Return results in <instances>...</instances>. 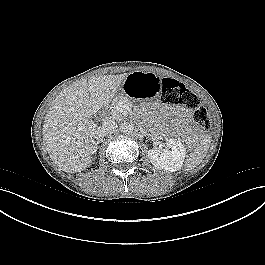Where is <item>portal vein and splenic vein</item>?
Segmentation results:
<instances>
[{
  "mask_svg": "<svg viewBox=\"0 0 265 265\" xmlns=\"http://www.w3.org/2000/svg\"><path fill=\"white\" fill-rule=\"evenodd\" d=\"M125 108V106L123 105V104H119L118 106H117V109L121 112V111H123V109Z\"/></svg>",
  "mask_w": 265,
  "mask_h": 265,
  "instance_id": "1",
  "label": "portal vein and splenic vein"
}]
</instances>
